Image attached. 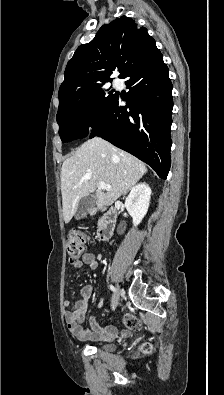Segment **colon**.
<instances>
[{"mask_svg":"<svg viewBox=\"0 0 224 395\" xmlns=\"http://www.w3.org/2000/svg\"><path fill=\"white\" fill-rule=\"evenodd\" d=\"M87 240V235L81 230H74L68 235L65 248L68 259L71 263L74 264L80 261V258L84 255ZM124 323L132 330H139L141 327L139 319L133 315H127L124 319ZM144 351L149 352L150 346L145 345Z\"/></svg>","mask_w":224,"mask_h":395,"instance_id":"colon-1","label":"colon"}]
</instances>
